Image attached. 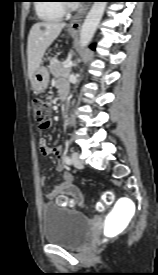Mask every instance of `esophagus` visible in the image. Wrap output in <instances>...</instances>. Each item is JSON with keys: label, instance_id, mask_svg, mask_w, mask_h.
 <instances>
[{"label": "esophagus", "instance_id": "obj_1", "mask_svg": "<svg viewBox=\"0 0 158 275\" xmlns=\"http://www.w3.org/2000/svg\"><path fill=\"white\" fill-rule=\"evenodd\" d=\"M90 8V4H86L83 6L77 14L74 16V18L70 21L68 28L74 32H77L80 28V25L82 23L83 18L85 17L88 9Z\"/></svg>", "mask_w": 158, "mask_h": 275}]
</instances>
